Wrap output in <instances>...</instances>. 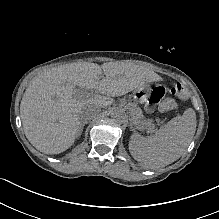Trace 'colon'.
<instances>
[{"instance_id": "1", "label": "colon", "mask_w": 219, "mask_h": 219, "mask_svg": "<svg viewBox=\"0 0 219 219\" xmlns=\"http://www.w3.org/2000/svg\"><path fill=\"white\" fill-rule=\"evenodd\" d=\"M170 93L173 97L177 99L184 100L187 98V92L181 84H176L170 89ZM176 106V102L173 98H166L160 104L161 111H170L174 109Z\"/></svg>"}]
</instances>
